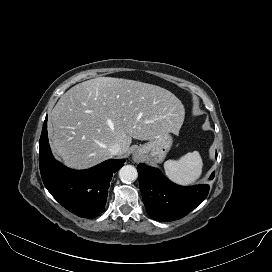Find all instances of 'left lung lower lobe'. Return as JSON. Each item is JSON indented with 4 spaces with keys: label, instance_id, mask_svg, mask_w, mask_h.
<instances>
[{
    "label": "left lung lower lobe",
    "instance_id": "left-lung-lower-lobe-1",
    "mask_svg": "<svg viewBox=\"0 0 272 272\" xmlns=\"http://www.w3.org/2000/svg\"><path fill=\"white\" fill-rule=\"evenodd\" d=\"M139 186L149 216L157 221L180 219L195 209L209 192V185L178 186L157 168L137 166ZM213 172L210 179L214 178Z\"/></svg>",
    "mask_w": 272,
    "mask_h": 272
}]
</instances>
